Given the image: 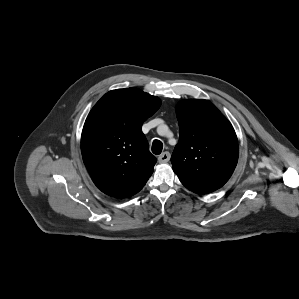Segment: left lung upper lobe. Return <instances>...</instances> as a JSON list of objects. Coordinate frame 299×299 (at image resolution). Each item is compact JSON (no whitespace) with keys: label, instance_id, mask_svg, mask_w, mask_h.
<instances>
[{"label":"left lung upper lobe","instance_id":"1","mask_svg":"<svg viewBox=\"0 0 299 299\" xmlns=\"http://www.w3.org/2000/svg\"><path fill=\"white\" fill-rule=\"evenodd\" d=\"M180 133L172 168L192 192L206 194L222 187L238 161V140L231 123L204 99L177 106Z\"/></svg>","mask_w":299,"mask_h":299}]
</instances>
